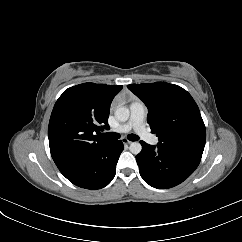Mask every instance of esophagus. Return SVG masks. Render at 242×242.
Here are the masks:
<instances>
[{
	"label": "esophagus",
	"instance_id": "obj_1",
	"mask_svg": "<svg viewBox=\"0 0 242 242\" xmlns=\"http://www.w3.org/2000/svg\"><path fill=\"white\" fill-rule=\"evenodd\" d=\"M122 142L124 144H131L132 142L130 140H128L127 138H122Z\"/></svg>",
	"mask_w": 242,
	"mask_h": 242
}]
</instances>
